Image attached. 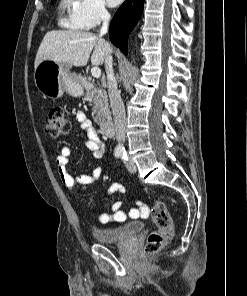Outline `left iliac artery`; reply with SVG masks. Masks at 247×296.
Listing matches in <instances>:
<instances>
[{
  "label": "left iliac artery",
  "mask_w": 247,
  "mask_h": 296,
  "mask_svg": "<svg viewBox=\"0 0 247 296\" xmlns=\"http://www.w3.org/2000/svg\"><path fill=\"white\" fill-rule=\"evenodd\" d=\"M121 158H122V160H123L124 162L128 161V157H127L126 152L123 153V155H122Z\"/></svg>",
  "instance_id": "left-iliac-artery-1"
}]
</instances>
